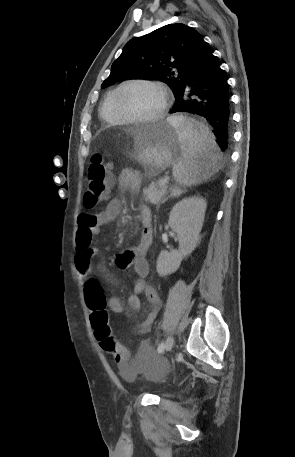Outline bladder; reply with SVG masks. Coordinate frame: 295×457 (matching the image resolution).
Wrapping results in <instances>:
<instances>
[{
  "mask_svg": "<svg viewBox=\"0 0 295 457\" xmlns=\"http://www.w3.org/2000/svg\"><path fill=\"white\" fill-rule=\"evenodd\" d=\"M137 351L141 353L139 355L141 360L136 361V367L133 364L135 362L133 357L128 359L129 364L120 365V374L126 381L133 382L136 380L139 374L137 369H152L153 371L148 373V377L152 380H159L162 375L169 378L175 374L176 369L173 363L171 361L162 362L161 358H165L166 356H157L156 352H152L153 348L151 345L139 346Z\"/></svg>",
  "mask_w": 295,
  "mask_h": 457,
  "instance_id": "31cf9c89",
  "label": "bladder"
}]
</instances>
